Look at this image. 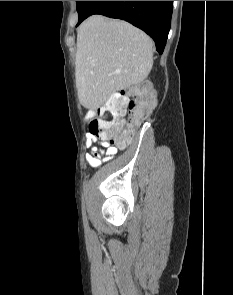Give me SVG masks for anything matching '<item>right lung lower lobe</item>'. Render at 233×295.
Here are the masks:
<instances>
[{
    "instance_id": "right-lung-lower-lobe-1",
    "label": "right lung lower lobe",
    "mask_w": 233,
    "mask_h": 295,
    "mask_svg": "<svg viewBox=\"0 0 233 295\" xmlns=\"http://www.w3.org/2000/svg\"><path fill=\"white\" fill-rule=\"evenodd\" d=\"M173 1H88L77 26L92 14L130 22L145 31L163 53L170 30Z\"/></svg>"
}]
</instances>
